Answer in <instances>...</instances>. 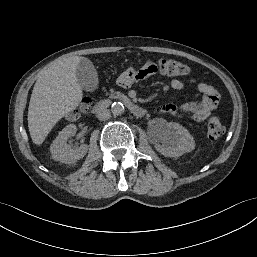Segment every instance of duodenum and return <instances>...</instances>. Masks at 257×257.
I'll return each mask as SVG.
<instances>
[{
	"label": "duodenum",
	"mask_w": 257,
	"mask_h": 257,
	"mask_svg": "<svg viewBox=\"0 0 257 257\" xmlns=\"http://www.w3.org/2000/svg\"><path fill=\"white\" fill-rule=\"evenodd\" d=\"M112 100H118L123 102L126 105V107L129 109V111L136 117H144L146 115L145 109H143L141 106H139L138 104H136L126 96L117 94L113 96ZM112 100L104 99L99 101L94 107V112H99L101 110L106 109L110 105Z\"/></svg>",
	"instance_id": "1"
}]
</instances>
